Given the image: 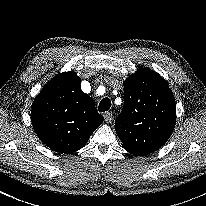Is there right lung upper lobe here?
<instances>
[{"label":"right lung upper lobe","mask_w":206,"mask_h":206,"mask_svg":"<svg viewBox=\"0 0 206 206\" xmlns=\"http://www.w3.org/2000/svg\"><path fill=\"white\" fill-rule=\"evenodd\" d=\"M80 84L75 72L61 73L45 85L32 104L31 121L36 134L60 153L83 148L103 122Z\"/></svg>","instance_id":"right-lung-upper-lobe-1"}]
</instances>
